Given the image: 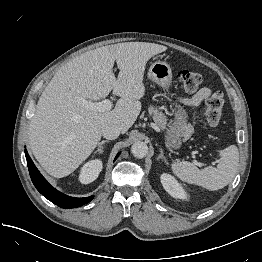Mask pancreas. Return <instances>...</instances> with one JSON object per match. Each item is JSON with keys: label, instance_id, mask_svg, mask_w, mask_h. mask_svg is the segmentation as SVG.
Listing matches in <instances>:
<instances>
[{"label": "pancreas", "instance_id": "obj_1", "mask_svg": "<svg viewBox=\"0 0 262 262\" xmlns=\"http://www.w3.org/2000/svg\"><path fill=\"white\" fill-rule=\"evenodd\" d=\"M149 114L153 117L154 122L160 127L164 128L166 125V116L159 112L157 109L153 108L152 106L149 107Z\"/></svg>", "mask_w": 262, "mask_h": 262}]
</instances>
